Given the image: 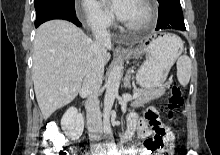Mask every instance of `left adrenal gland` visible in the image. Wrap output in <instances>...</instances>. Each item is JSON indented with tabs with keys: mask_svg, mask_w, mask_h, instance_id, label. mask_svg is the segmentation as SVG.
Wrapping results in <instances>:
<instances>
[{
	"mask_svg": "<svg viewBox=\"0 0 220 155\" xmlns=\"http://www.w3.org/2000/svg\"><path fill=\"white\" fill-rule=\"evenodd\" d=\"M130 79H131V70H128V72L124 78V87L125 88H128V89L131 88Z\"/></svg>",
	"mask_w": 220,
	"mask_h": 155,
	"instance_id": "obj_1",
	"label": "left adrenal gland"
}]
</instances>
